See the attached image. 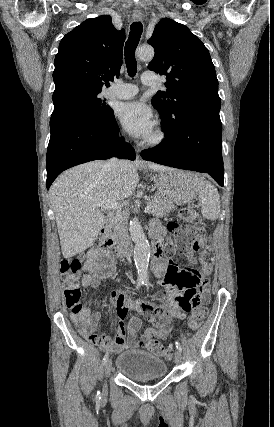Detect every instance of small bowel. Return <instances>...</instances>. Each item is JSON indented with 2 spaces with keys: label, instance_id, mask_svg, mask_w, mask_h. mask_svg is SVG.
Returning <instances> with one entry per match:
<instances>
[{
  "label": "small bowel",
  "instance_id": "small-bowel-1",
  "mask_svg": "<svg viewBox=\"0 0 274 427\" xmlns=\"http://www.w3.org/2000/svg\"><path fill=\"white\" fill-rule=\"evenodd\" d=\"M160 227L158 222H151L150 235L155 238ZM199 250L200 247L194 244L190 251H179V254L194 263L193 255ZM206 254H210V251H206ZM206 267L207 269H179V266L171 260L155 259L152 270L160 279L170 304H166L162 311L159 300H154L151 304L150 299L132 301L124 293H113L111 297L114 312L118 318L117 335L114 338L101 332L103 325L100 313H91L88 304H85L80 312L72 313L71 320L84 339L110 353L118 354L142 347L145 341L153 338L165 339L169 332L175 330L174 320L188 319V312L181 310H193L194 302H199V292L202 302L209 300L210 283L214 280L213 270L216 269L217 264L215 261H208ZM167 269L171 273V278L166 276ZM115 271V254L104 249L102 245H98L86 253L81 283L86 288H96L102 280L113 276ZM178 298H182L183 301H177ZM133 309H136L137 313H150V326L155 327L146 329L142 337H138V331L142 325V320L138 316H131L127 327L124 323L129 311ZM157 313H159V318H157Z\"/></svg>",
  "mask_w": 274,
  "mask_h": 427
}]
</instances>
